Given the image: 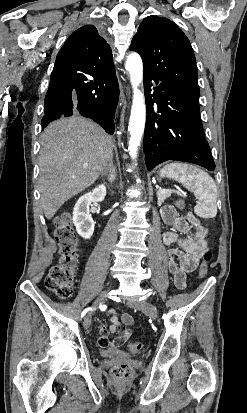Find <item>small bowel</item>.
Wrapping results in <instances>:
<instances>
[{"mask_svg":"<svg viewBox=\"0 0 247 413\" xmlns=\"http://www.w3.org/2000/svg\"><path fill=\"white\" fill-rule=\"evenodd\" d=\"M162 218L167 226L174 229L163 233L162 241L165 245H177V248L167 252L168 270L173 276L175 287L182 290L186 287L187 274L198 268L203 252L208 249L206 241L208 229L193 213L188 212L184 217H178L172 207L163 208ZM191 229L194 231L191 232ZM175 230L184 235L180 237ZM107 313L110 317V330L117 331L119 327L121 329L112 342V347L128 349L130 347L128 338L132 336L129 326L134 323L133 316L128 313L119 315L115 310H109ZM96 329L98 330L97 347L107 349L109 347V342L105 340L109 336L107 324L98 322Z\"/></svg>","mask_w":247,"mask_h":413,"instance_id":"small-bowel-1","label":"small bowel"}]
</instances>
